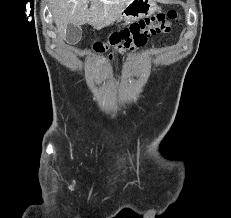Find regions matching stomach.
I'll return each mask as SVG.
<instances>
[{
	"mask_svg": "<svg viewBox=\"0 0 231 218\" xmlns=\"http://www.w3.org/2000/svg\"><path fill=\"white\" fill-rule=\"evenodd\" d=\"M157 9L156 0H127L117 21L131 22L152 15Z\"/></svg>",
	"mask_w": 231,
	"mask_h": 218,
	"instance_id": "0dacf381",
	"label": "stomach"
}]
</instances>
